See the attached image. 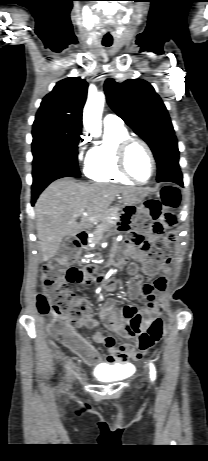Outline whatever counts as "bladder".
<instances>
[{
  "mask_svg": "<svg viewBox=\"0 0 208 461\" xmlns=\"http://www.w3.org/2000/svg\"><path fill=\"white\" fill-rule=\"evenodd\" d=\"M94 377L98 381L111 382L119 380L123 377L122 367L120 365H98L93 371Z\"/></svg>",
  "mask_w": 208,
  "mask_h": 461,
  "instance_id": "31cf9c89",
  "label": "bladder"
}]
</instances>
